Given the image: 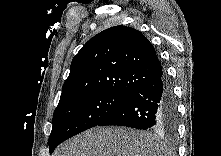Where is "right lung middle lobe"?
<instances>
[{
	"label": "right lung middle lobe",
	"mask_w": 221,
	"mask_h": 156,
	"mask_svg": "<svg viewBox=\"0 0 221 156\" xmlns=\"http://www.w3.org/2000/svg\"><path fill=\"white\" fill-rule=\"evenodd\" d=\"M130 96L100 92L59 103L53 114L49 136L50 153L66 139L99 125Z\"/></svg>",
	"instance_id": "dd1d6c3e"
}]
</instances>
